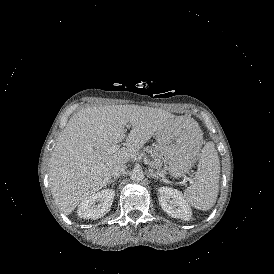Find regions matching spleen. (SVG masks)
Returning <instances> with one entry per match:
<instances>
[{
	"instance_id": "obj_1",
	"label": "spleen",
	"mask_w": 274,
	"mask_h": 274,
	"mask_svg": "<svg viewBox=\"0 0 274 274\" xmlns=\"http://www.w3.org/2000/svg\"><path fill=\"white\" fill-rule=\"evenodd\" d=\"M198 142L202 141V133L199 129ZM196 152V147L192 149ZM195 179L191 186L184 190V201L199 210L206 211L212 208L218 195L220 164L214 144L209 142L199 154Z\"/></svg>"
}]
</instances>
